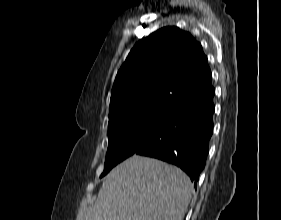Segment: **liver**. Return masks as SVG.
<instances>
[{"label":"liver","mask_w":281,"mask_h":220,"mask_svg":"<svg viewBox=\"0 0 281 220\" xmlns=\"http://www.w3.org/2000/svg\"><path fill=\"white\" fill-rule=\"evenodd\" d=\"M192 193L180 168L134 155L106 175L95 204L77 220H183Z\"/></svg>","instance_id":"1"}]
</instances>
